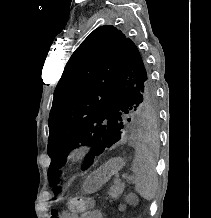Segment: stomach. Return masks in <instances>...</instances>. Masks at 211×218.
I'll list each match as a JSON object with an SVG mask.
<instances>
[{
	"mask_svg": "<svg viewBox=\"0 0 211 218\" xmlns=\"http://www.w3.org/2000/svg\"><path fill=\"white\" fill-rule=\"evenodd\" d=\"M124 166V160L120 157L112 158L91 173L83 183L86 193L99 190L114 174H117Z\"/></svg>",
	"mask_w": 211,
	"mask_h": 218,
	"instance_id": "1",
	"label": "stomach"
}]
</instances>
